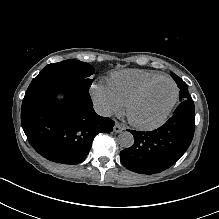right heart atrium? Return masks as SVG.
<instances>
[{
  "label": "right heart atrium",
  "instance_id": "1",
  "mask_svg": "<svg viewBox=\"0 0 219 219\" xmlns=\"http://www.w3.org/2000/svg\"><path fill=\"white\" fill-rule=\"evenodd\" d=\"M92 99L103 116L119 115L122 105L115 99L108 87L95 84L91 88Z\"/></svg>",
  "mask_w": 219,
  "mask_h": 219
}]
</instances>
